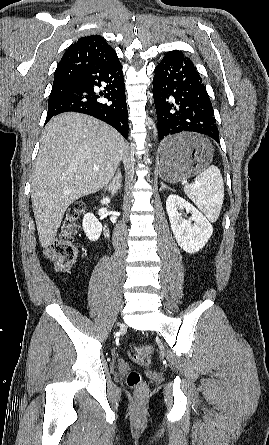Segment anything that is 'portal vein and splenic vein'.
Masks as SVG:
<instances>
[{"label": "portal vein and splenic vein", "instance_id": "obj_1", "mask_svg": "<svg viewBox=\"0 0 269 445\" xmlns=\"http://www.w3.org/2000/svg\"><path fill=\"white\" fill-rule=\"evenodd\" d=\"M93 169H94V171H97L99 169V167L95 166Z\"/></svg>", "mask_w": 269, "mask_h": 445}]
</instances>
